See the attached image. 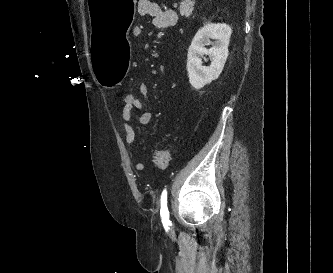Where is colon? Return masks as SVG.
I'll use <instances>...</instances> for the list:
<instances>
[{"mask_svg":"<svg viewBox=\"0 0 333 273\" xmlns=\"http://www.w3.org/2000/svg\"><path fill=\"white\" fill-rule=\"evenodd\" d=\"M138 98L132 93H127L123 97V106L128 108H136ZM171 156L168 150L159 149L154 153L153 160L156 167L164 169L169 165Z\"/></svg>","mask_w":333,"mask_h":273,"instance_id":"obj_1","label":"colon"}]
</instances>
